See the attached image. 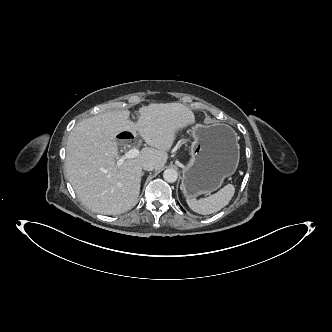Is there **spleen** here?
<instances>
[{
    "mask_svg": "<svg viewBox=\"0 0 332 332\" xmlns=\"http://www.w3.org/2000/svg\"><path fill=\"white\" fill-rule=\"evenodd\" d=\"M235 192V187L232 184H227L217 193L210 195L207 198L199 200L187 199L188 206L196 213L202 215L213 214L224 208L232 199Z\"/></svg>",
    "mask_w": 332,
    "mask_h": 332,
    "instance_id": "1",
    "label": "spleen"
}]
</instances>
